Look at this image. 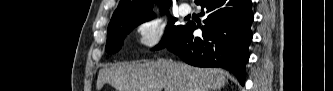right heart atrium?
<instances>
[{
    "label": "right heart atrium",
    "instance_id": "1",
    "mask_svg": "<svg viewBox=\"0 0 333 91\" xmlns=\"http://www.w3.org/2000/svg\"><path fill=\"white\" fill-rule=\"evenodd\" d=\"M140 46L148 52L158 51L166 40V26L161 19L147 18L135 27Z\"/></svg>",
    "mask_w": 333,
    "mask_h": 91
}]
</instances>
